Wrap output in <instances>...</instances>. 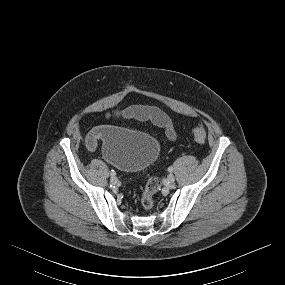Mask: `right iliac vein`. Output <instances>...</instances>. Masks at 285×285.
<instances>
[{"label":"right iliac vein","instance_id":"right-iliac-vein-1","mask_svg":"<svg viewBox=\"0 0 285 285\" xmlns=\"http://www.w3.org/2000/svg\"><path fill=\"white\" fill-rule=\"evenodd\" d=\"M110 181H111V183L115 184L117 182V177L111 176Z\"/></svg>","mask_w":285,"mask_h":285}]
</instances>
